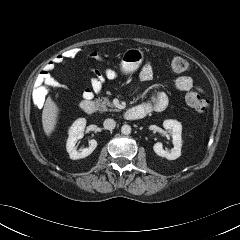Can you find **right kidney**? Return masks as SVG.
Wrapping results in <instances>:
<instances>
[{"mask_svg":"<svg viewBox=\"0 0 240 240\" xmlns=\"http://www.w3.org/2000/svg\"><path fill=\"white\" fill-rule=\"evenodd\" d=\"M85 126H86V119L79 118L72 124V126L69 129V132H68L69 137L67 139L66 149H67V152L69 153L70 158L73 160L87 157L97 147V141L95 139H92L89 141L88 148H85L79 151L76 149L75 145L77 141L83 138L84 136Z\"/></svg>","mask_w":240,"mask_h":240,"instance_id":"1","label":"right kidney"}]
</instances>
